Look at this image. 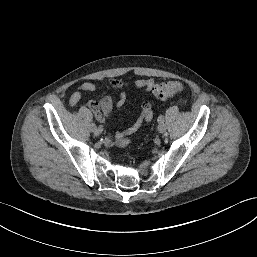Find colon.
I'll use <instances>...</instances> for the list:
<instances>
[{"label": "colon", "instance_id": "colon-1", "mask_svg": "<svg viewBox=\"0 0 257 257\" xmlns=\"http://www.w3.org/2000/svg\"><path fill=\"white\" fill-rule=\"evenodd\" d=\"M184 86L179 81H165L153 88V95L156 99H166L172 95L182 92Z\"/></svg>", "mask_w": 257, "mask_h": 257}]
</instances>
